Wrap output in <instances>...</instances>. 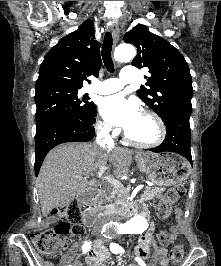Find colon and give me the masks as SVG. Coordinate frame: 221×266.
<instances>
[{
  "label": "colon",
  "instance_id": "1",
  "mask_svg": "<svg viewBox=\"0 0 221 266\" xmlns=\"http://www.w3.org/2000/svg\"><path fill=\"white\" fill-rule=\"evenodd\" d=\"M186 187L179 184L171 188L166 195L155 200V208L160 219H167L171 213V205L182 198ZM53 214L62 218V221L53 229L33 232L31 239L39 252L45 255H55L60 247V238L63 236L80 235L83 227L80 225L81 207L76 200H69L54 209ZM158 241L162 245H169L173 241V235L168 232H159ZM184 256L181 245H174L170 252L173 263H179Z\"/></svg>",
  "mask_w": 221,
  "mask_h": 266
}]
</instances>
